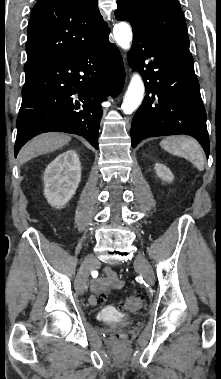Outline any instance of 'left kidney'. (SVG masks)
I'll list each match as a JSON object with an SVG mask.
<instances>
[{"label": "left kidney", "instance_id": "5707ae66", "mask_svg": "<svg viewBox=\"0 0 221 379\" xmlns=\"http://www.w3.org/2000/svg\"><path fill=\"white\" fill-rule=\"evenodd\" d=\"M155 170L157 175L166 182H171L174 179V176L169 168H167L165 165L157 163L155 165Z\"/></svg>", "mask_w": 221, "mask_h": 379}]
</instances>
